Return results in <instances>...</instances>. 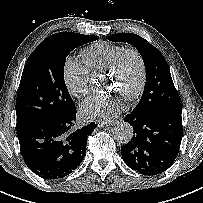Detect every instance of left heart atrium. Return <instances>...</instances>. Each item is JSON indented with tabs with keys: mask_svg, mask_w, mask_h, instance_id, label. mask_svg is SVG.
<instances>
[{
	"mask_svg": "<svg viewBox=\"0 0 203 203\" xmlns=\"http://www.w3.org/2000/svg\"><path fill=\"white\" fill-rule=\"evenodd\" d=\"M123 108L121 99L92 96L81 104L79 113L83 119L108 121L117 116Z\"/></svg>",
	"mask_w": 203,
	"mask_h": 203,
	"instance_id": "left-heart-atrium-1",
	"label": "left heart atrium"
}]
</instances>
